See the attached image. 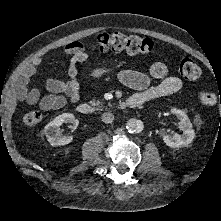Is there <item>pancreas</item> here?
<instances>
[{"mask_svg": "<svg viewBox=\"0 0 221 221\" xmlns=\"http://www.w3.org/2000/svg\"><path fill=\"white\" fill-rule=\"evenodd\" d=\"M102 104H103L102 101L96 99H93L91 101V105L94 107L95 110H101L103 108Z\"/></svg>", "mask_w": 221, "mask_h": 221, "instance_id": "pancreas-1", "label": "pancreas"}]
</instances>
